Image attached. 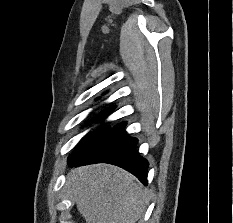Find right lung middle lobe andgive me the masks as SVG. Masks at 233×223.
<instances>
[{"instance_id":"right-lung-middle-lobe-1","label":"right lung middle lobe","mask_w":233,"mask_h":223,"mask_svg":"<svg viewBox=\"0 0 233 223\" xmlns=\"http://www.w3.org/2000/svg\"><path fill=\"white\" fill-rule=\"evenodd\" d=\"M114 108H109L102 112L96 119L95 122L102 121L109 113H111ZM110 129L107 127L101 128L87 136H85L81 143L74 150L72 156H81L86 153L92 146H94L97 141L103 137Z\"/></svg>"}]
</instances>
